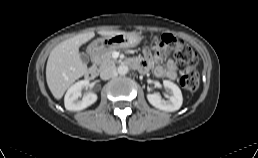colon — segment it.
<instances>
[{
  "instance_id": "obj_1",
  "label": "colon",
  "mask_w": 258,
  "mask_h": 158,
  "mask_svg": "<svg viewBox=\"0 0 258 158\" xmlns=\"http://www.w3.org/2000/svg\"><path fill=\"white\" fill-rule=\"evenodd\" d=\"M152 46L154 49L171 47L174 52L176 64L182 70L179 79L180 85L188 91H195L198 88L199 77L192 70L198 63V56L190 46L166 34L155 37Z\"/></svg>"
}]
</instances>
